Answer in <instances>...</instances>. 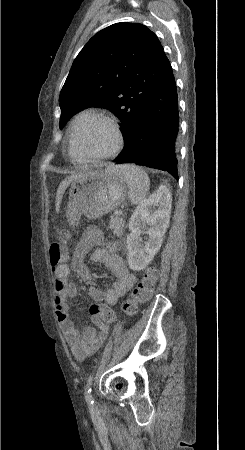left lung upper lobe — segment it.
I'll return each mask as SVG.
<instances>
[{"label":"left lung upper lobe","instance_id":"left-lung-upper-lobe-1","mask_svg":"<svg viewBox=\"0 0 245 450\" xmlns=\"http://www.w3.org/2000/svg\"><path fill=\"white\" fill-rule=\"evenodd\" d=\"M170 62L157 36L138 23H116L93 36L62 87L60 128L79 110L100 106L122 122L125 143L141 107Z\"/></svg>","mask_w":245,"mask_h":450}]
</instances>
